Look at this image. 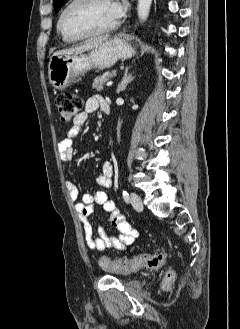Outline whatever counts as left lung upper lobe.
Instances as JSON below:
<instances>
[{
	"label": "left lung upper lobe",
	"mask_w": 240,
	"mask_h": 329,
	"mask_svg": "<svg viewBox=\"0 0 240 329\" xmlns=\"http://www.w3.org/2000/svg\"><path fill=\"white\" fill-rule=\"evenodd\" d=\"M65 1L66 0H54V9L56 12L60 10Z\"/></svg>",
	"instance_id": "5c2ea615"
}]
</instances>
